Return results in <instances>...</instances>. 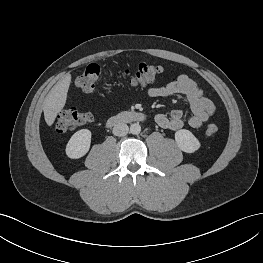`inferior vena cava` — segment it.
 <instances>
[{"instance_id": "obj_1", "label": "inferior vena cava", "mask_w": 263, "mask_h": 263, "mask_svg": "<svg viewBox=\"0 0 263 263\" xmlns=\"http://www.w3.org/2000/svg\"><path fill=\"white\" fill-rule=\"evenodd\" d=\"M129 127L125 123H118L113 128V134L115 136H125L128 134Z\"/></svg>"}]
</instances>
